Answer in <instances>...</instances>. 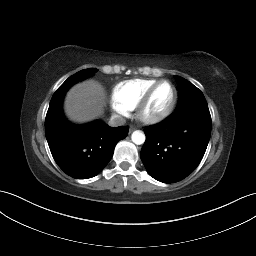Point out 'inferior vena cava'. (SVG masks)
Wrapping results in <instances>:
<instances>
[{
	"label": "inferior vena cava",
	"mask_w": 256,
	"mask_h": 256,
	"mask_svg": "<svg viewBox=\"0 0 256 256\" xmlns=\"http://www.w3.org/2000/svg\"><path fill=\"white\" fill-rule=\"evenodd\" d=\"M125 123H126L125 118L119 115H113L109 120V125L111 127L121 126V125H124Z\"/></svg>",
	"instance_id": "obj_1"
}]
</instances>
